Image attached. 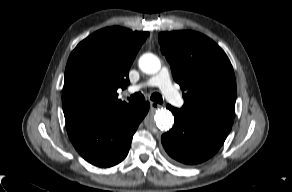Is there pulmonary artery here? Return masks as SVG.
Segmentation results:
<instances>
[{"label": "pulmonary artery", "instance_id": "pulmonary-artery-1", "mask_svg": "<svg viewBox=\"0 0 292 192\" xmlns=\"http://www.w3.org/2000/svg\"><path fill=\"white\" fill-rule=\"evenodd\" d=\"M145 87H158L164 97L174 106L180 107L183 105V99L173 87L170 79V72L168 68L162 69L153 77L149 78L146 82L131 86L128 91L136 92Z\"/></svg>", "mask_w": 292, "mask_h": 192}]
</instances>
